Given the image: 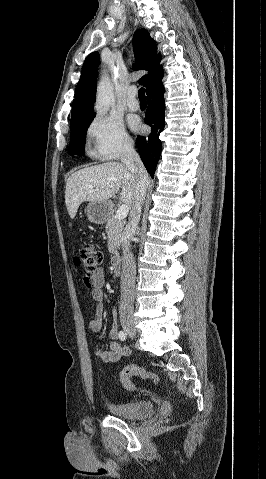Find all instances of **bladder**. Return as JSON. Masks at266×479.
<instances>
[{"instance_id": "31cf9c89", "label": "bladder", "mask_w": 266, "mask_h": 479, "mask_svg": "<svg viewBox=\"0 0 266 479\" xmlns=\"http://www.w3.org/2000/svg\"><path fill=\"white\" fill-rule=\"evenodd\" d=\"M108 409L112 416L134 420L151 416L154 413V406L150 401H129L123 403H110Z\"/></svg>"}]
</instances>
